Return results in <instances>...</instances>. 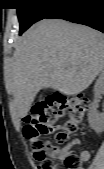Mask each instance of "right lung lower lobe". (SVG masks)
<instances>
[{
	"instance_id": "right-lung-lower-lobe-1",
	"label": "right lung lower lobe",
	"mask_w": 104,
	"mask_h": 169,
	"mask_svg": "<svg viewBox=\"0 0 104 169\" xmlns=\"http://www.w3.org/2000/svg\"><path fill=\"white\" fill-rule=\"evenodd\" d=\"M47 18L64 19L104 32V0H70Z\"/></svg>"
}]
</instances>
